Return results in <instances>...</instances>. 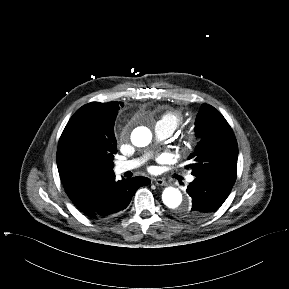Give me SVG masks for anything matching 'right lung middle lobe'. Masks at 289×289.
Instances as JSON below:
<instances>
[{
  "label": "right lung middle lobe",
  "mask_w": 289,
  "mask_h": 289,
  "mask_svg": "<svg viewBox=\"0 0 289 289\" xmlns=\"http://www.w3.org/2000/svg\"><path fill=\"white\" fill-rule=\"evenodd\" d=\"M120 106L117 102H91L78 109L59 140L65 154L84 165L112 164L117 152L114 123Z\"/></svg>",
  "instance_id": "obj_1"
}]
</instances>
